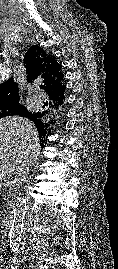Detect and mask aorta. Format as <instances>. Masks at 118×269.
<instances>
[{
    "mask_svg": "<svg viewBox=\"0 0 118 269\" xmlns=\"http://www.w3.org/2000/svg\"><path fill=\"white\" fill-rule=\"evenodd\" d=\"M26 200L24 198L18 197L14 202L13 207V219L12 225L9 232V244L10 248L16 251L21 243L24 218L27 211Z\"/></svg>",
    "mask_w": 118,
    "mask_h": 269,
    "instance_id": "obj_1",
    "label": "aorta"
}]
</instances>
